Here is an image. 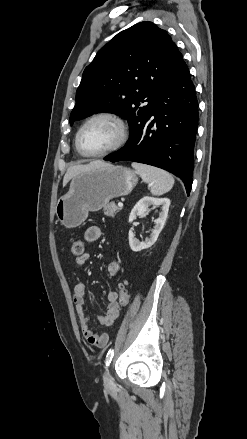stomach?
I'll list each match as a JSON object with an SVG mask.
<instances>
[{
	"mask_svg": "<svg viewBox=\"0 0 247 439\" xmlns=\"http://www.w3.org/2000/svg\"><path fill=\"white\" fill-rule=\"evenodd\" d=\"M138 182L134 170L111 165L72 178L69 191L56 204V216L67 228L84 222L89 211H98L116 197L129 194Z\"/></svg>",
	"mask_w": 247,
	"mask_h": 439,
	"instance_id": "1",
	"label": "stomach"
}]
</instances>
